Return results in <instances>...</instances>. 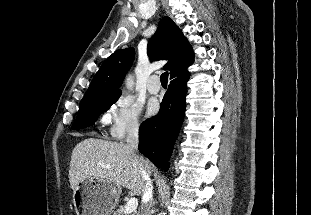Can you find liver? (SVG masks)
Segmentation results:
<instances>
[{"mask_svg":"<svg viewBox=\"0 0 311 215\" xmlns=\"http://www.w3.org/2000/svg\"><path fill=\"white\" fill-rule=\"evenodd\" d=\"M144 160V159H143ZM148 176L151 165L144 160ZM86 178L105 180L119 188H127L134 195L143 192L144 177L137 155L127 144L102 139L87 138L79 142L72 151L69 182L72 190Z\"/></svg>","mask_w":311,"mask_h":215,"instance_id":"1","label":"liver"}]
</instances>
